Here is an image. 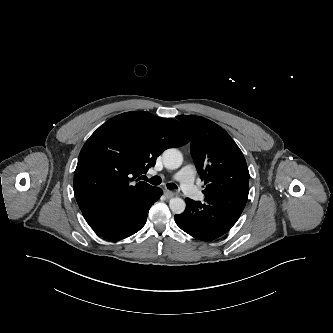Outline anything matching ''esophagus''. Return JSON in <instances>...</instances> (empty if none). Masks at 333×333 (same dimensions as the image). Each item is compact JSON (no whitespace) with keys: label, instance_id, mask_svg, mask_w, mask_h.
Returning a JSON list of instances; mask_svg holds the SVG:
<instances>
[{"label":"esophagus","instance_id":"1","mask_svg":"<svg viewBox=\"0 0 333 333\" xmlns=\"http://www.w3.org/2000/svg\"><path fill=\"white\" fill-rule=\"evenodd\" d=\"M164 195L166 196L167 199L173 198L176 196V193L169 191V190H165L164 191Z\"/></svg>","mask_w":333,"mask_h":333}]
</instances>
